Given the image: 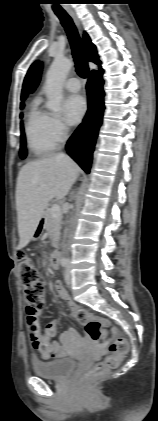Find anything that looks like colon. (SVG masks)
Segmentation results:
<instances>
[{
    "label": "colon",
    "instance_id": "5ec220e1",
    "mask_svg": "<svg viewBox=\"0 0 158 421\" xmlns=\"http://www.w3.org/2000/svg\"><path fill=\"white\" fill-rule=\"evenodd\" d=\"M18 262L28 309L36 315L37 311L43 306V282L32 260L22 250L18 252ZM79 318L85 327L86 336L93 341L101 342L109 349V355L105 360L94 365L83 375V385L89 386L108 370L116 368L120 364L129 350V343L117 330L111 328L106 320L86 313L81 314ZM41 354L44 358L49 357L46 350Z\"/></svg>",
    "mask_w": 158,
    "mask_h": 421
}]
</instances>
